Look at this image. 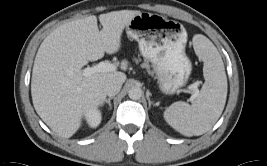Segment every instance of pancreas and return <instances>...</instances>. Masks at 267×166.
Masks as SVG:
<instances>
[{
  "label": "pancreas",
  "mask_w": 267,
  "mask_h": 166,
  "mask_svg": "<svg viewBox=\"0 0 267 166\" xmlns=\"http://www.w3.org/2000/svg\"><path fill=\"white\" fill-rule=\"evenodd\" d=\"M135 61H136V63L138 62V60H137V59H135ZM142 67H145V68H147V69H148V68H149V65H148L147 63H143V64H142Z\"/></svg>",
  "instance_id": "pancreas-1"
}]
</instances>
